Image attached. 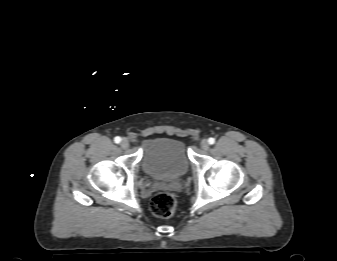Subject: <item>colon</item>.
<instances>
[{"label": "colon", "instance_id": "colon-1", "mask_svg": "<svg viewBox=\"0 0 337 261\" xmlns=\"http://www.w3.org/2000/svg\"><path fill=\"white\" fill-rule=\"evenodd\" d=\"M150 207L157 217L171 218L177 212V199L172 193L160 192L152 198Z\"/></svg>", "mask_w": 337, "mask_h": 261}]
</instances>
